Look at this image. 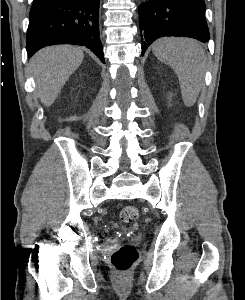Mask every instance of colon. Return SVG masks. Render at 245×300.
Returning a JSON list of instances; mask_svg holds the SVG:
<instances>
[{
	"instance_id": "1",
	"label": "colon",
	"mask_w": 245,
	"mask_h": 300,
	"mask_svg": "<svg viewBox=\"0 0 245 300\" xmlns=\"http://www.w3.org/2000/svg\"><path fill=\"white\" fill-rule=\"evenodd\" d=\"M139 210L134 205L125 206L120 212V219L123 223L129 224L137 220ZM138 259L136 248L130 244H124L117 248L111 256L113 268L120 274L129 272Z\"/></svg>"
}]
</instances>
